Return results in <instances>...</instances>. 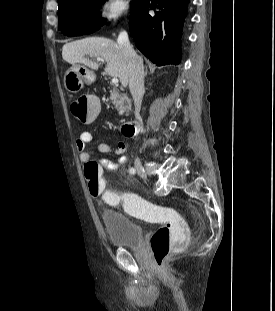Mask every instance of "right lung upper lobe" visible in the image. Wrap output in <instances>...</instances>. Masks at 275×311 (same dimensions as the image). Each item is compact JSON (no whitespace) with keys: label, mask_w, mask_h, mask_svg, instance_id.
Instances as JSON below:
<instances>
[{"label":"right lung upper lobe","mask_w":275,"mask_h":311,"mask_svg":"<svg viewBox=\"0 0 275 311\" xmlns=\"http://www.w3.org/2000/svg\"><path fill=\"white\" fill-rule=\"evenodd\" d=\"M66 1H69V0H58V4L60 5V4L64 3V2H66Z\"/></svg>","instance_id":"cb5924a9"}]
</instances>
